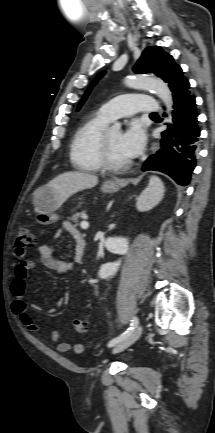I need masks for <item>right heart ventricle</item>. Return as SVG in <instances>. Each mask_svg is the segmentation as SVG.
Segmentation results:
<instances>
[{
    "label": "right heart ventricle",
    "mask_w": 215,
    "mask_h": 433,
    "mask_svg": "<svg viewBox=\"0 0 215 433\" xmlns=\"http://www.w3.org/2000/svg\"><path fill=\"white\" fill-rule=\"evenodd\" d=\"M109 122L99 111L90 115L77 129L70 147V159L75 168L90 172L103 168L99 158V143Z\"/></svg>",
    "instance_id": "obj_1"
}]
</instances>
